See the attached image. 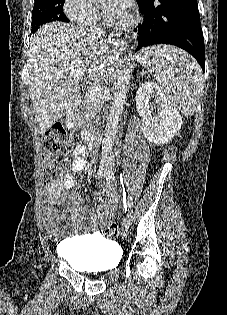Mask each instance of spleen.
<instances>
[{
  "label": "spleen",
  "mask_w": 227,
  "mask_h": 315,
  "mask_svg": "<svg viewBox=\"0 0 227 315\" xmlns=\"http://www.w3.org/2000/svg\"><path fill=\"white\" fill-rule=\"evenodd\" d=\"M143 67L154 73L168 100L185 116H192L203 89L201 69L185 52L172 46H156L138 56Z\"/></svg>",
  "instance_id": "spleen-1"
}]
</instances>
